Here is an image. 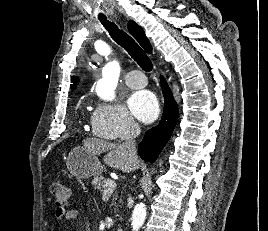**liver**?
Returning <instances> with one entry per match:
<instances>
[{"instance_id":"liver-1","label":"liver","mask_w":268,"mask_h":231,"mask_svg":"<svg viewBox=\"0 0 268 231\" xmlns=\"http://www.w3.org/2000/svg\"><path fill=\"white\" fill-rule=\"evenodd\" d=\"M83 146L95 155L107 152L103 159L105 164L122 172H130L139 168L138 160H130L121 143H109L97 138H88L83 141Z\"/></svg>"}]
</instances>
